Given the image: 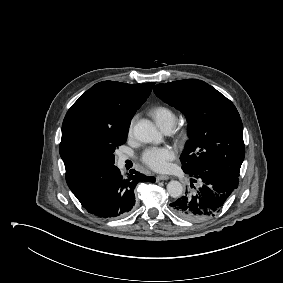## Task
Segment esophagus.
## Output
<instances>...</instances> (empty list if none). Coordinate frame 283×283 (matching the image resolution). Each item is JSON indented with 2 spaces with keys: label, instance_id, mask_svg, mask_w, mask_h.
I'll return each mask as SVG.
<instances>
[{
  "label": "esophagus",
  "instance_id": "obj_1",
  "mask_svg": "<svg viewBox=\"0 0 283 283\" xmlns=\"http://www.w3.org/2000/svg\"><path fill=\"white\" fill-rule=\"evenodd\" d=\"M169 178H170V177L167 176V175H158V176L156 177V180H157V181L168 180Z\"/></svg>",
  "mask_w": 283,
  "mask_h": 283
}]
</instances>
